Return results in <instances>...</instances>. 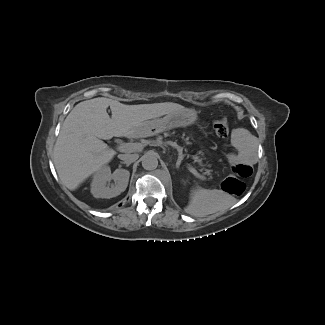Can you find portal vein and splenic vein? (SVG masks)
<instances>
[{"label": "portal vein and splenic vein", "mask_w": 325, "mask_h": 325, "mask_svg": "<svg viewBox=\"0 0 325 325\" xmlns=\"http://www.w3.org/2000/svg\"><path fill=\"white\" fill-rule=\"evenodd\" d=\"M141 143H122L117 145V149L121 152H134L137 150H140L142 148ZM190 172H192L194 175H196L200 179H204L203 176H201L190 164L187 165Z\"/></svg>", "instance_id": "obj_1"}]
</instances>
